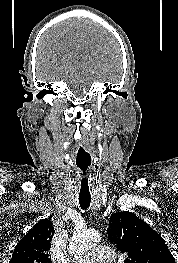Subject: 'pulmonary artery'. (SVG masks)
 I'll list each match as a JSON object with an SVG mask.
<instances>
[{
	"label": "pulmonary artery",
	"instance_id": "obj_1",
	"mask_svg": "<svg viewBox=\"0 0 178 263\" xmlns=\"http://www.w3.org/2000/svg\"><path fill=\"white\" fill-rule=\"evenodd\" d=\"M115 259V253L112 249L97 246L87 252L77 263H109Z\"/></svg>",
	"mask_w": 178,
	"mask_h": 263
}]
</instances>
